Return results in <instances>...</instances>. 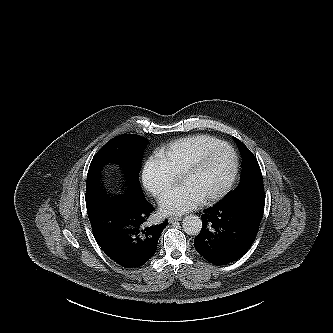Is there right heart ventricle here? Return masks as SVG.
<instances>
[{
    "instance_id": "right-heart-ventricle-1",
    "label": "right heart ventricle",
    "mask_w": 333,
    "mask_h": 333,
    "mask_svg": "<svg viewBox=\"0 0 333 333\" xmlns=\"http://www.w3.org/2000/svg\"><path fill=\"white\" fill-rule=\"evenodd\" d=\"M221 139L199 134L177 139L162 147L159 154L174 175H179L198 155L222 143Z\"/></svg>"
}]
</instances>
